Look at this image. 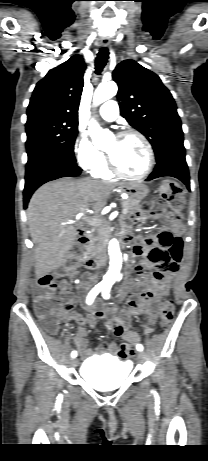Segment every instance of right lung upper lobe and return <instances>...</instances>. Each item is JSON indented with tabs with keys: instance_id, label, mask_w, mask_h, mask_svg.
<instances>
[{
	"instance_id": "obj_1",
	"label": "right lung upper lobe",
	"mask_w": 208,
	"mask_h": 461,
	"mask_svg": "<svg viewBox=\"0 0 208 461\" xmlns=\"http://www.w3.org/2000/svg\"><path fill=\"white\" fill-rule=\"evenodd\" d=\"M86 65L80 55L51 69L40 80L27 109L28 117L63 118L78 121Z\"/></svg>"
}]
</instances>
